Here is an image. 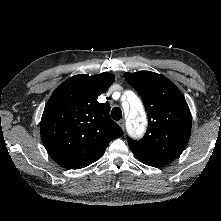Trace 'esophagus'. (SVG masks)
I'll return each instance as SVG.
<instances>
[{
    "mask_svg": "<svg viewBox=\"0 0 221 221\" xmlns=\"http://www.w3.org/2000/svg\"><path fill=\"white\" fill-rule=\"evenodd\" d=\"M118 124L120 125V127L124 130L125 129V121L122 119L118 122Z\"/></svg>",
    "mask_w": 221,
    "mask_h": 221,
    "instance_id": "esophagus-1",
    "label": "esophagus"
}]
</instances>
